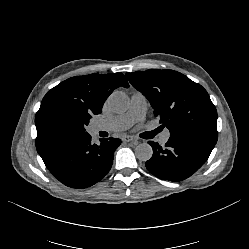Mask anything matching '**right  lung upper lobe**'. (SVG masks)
<instances>
[{
    "label": "right lung upper lobe",
    "instance_id": "cb5924a9",
    "mask_svg": "<svg viewBox=\"0 0 249 249\" xmlns=\"http://www.w3.org/2000/svg\"><path fill=\"white\" fill-rule=\"evenodd\" d=\"M120 86L129 87L122 73L104 75L94 73L69 78L49 90L35 117L37 151L47 144L59 140L49 135L44 127L43 116L51 106L64 104L80 107L90 116L100 114L107 97Z\"/></svg>",
    "mask_w": 249,
    "mask_h": 249
}]
</instances>
